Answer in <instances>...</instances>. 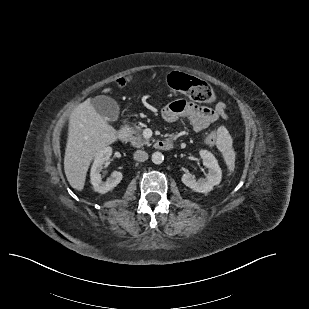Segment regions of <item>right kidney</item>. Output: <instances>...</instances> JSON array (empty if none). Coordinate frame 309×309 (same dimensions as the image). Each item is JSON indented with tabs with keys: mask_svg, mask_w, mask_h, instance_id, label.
Masks as SVG:
<instances>
[{
	"mask_svg": "<svg viewBox=\"0 0 309 309\" xmlns=\"http://www.w3.org/2000/svg\"><path fill=\"white\" fill-rule=\"evenodd\" d=\"M111 155H112V148L105 147L96 155L91 168L90 172L91 184L94 190L101 194L107 193L108 191L114 189L121 182L123 178L121 172L114 171L111 174L110 178H108L106 181H102L101 172L103 169V164L109 160Z\"/></svg>",
	"mask_w": 309,
	"mask_h": 309,
	"instance_id": "right-kidney-1",
	"label": "right kidney"
}]
</instances>
